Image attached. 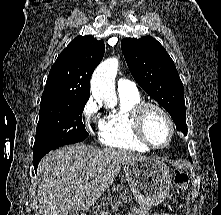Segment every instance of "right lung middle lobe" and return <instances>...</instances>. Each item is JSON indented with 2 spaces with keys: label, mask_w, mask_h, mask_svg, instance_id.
Returning a JSON list of instances; mask_svg holds the SVG:
<instances>
[{
  "label": "right lung middle lobe",
  "mask_w": 221,
  "mask_h": 215,
  "mask_svg": "<svg viewBox=\"0 0 221 215\" xmlns=\"http://www.w3.org/2000/svg\"><path fill=\"white\" fill-rule=\"evenodd\" d=\"M87 99H59L40 104L33 157L88 137L82 122Z\"/></svg>",
  "instance_id": "dd1d6c3e"
}]
</instances>
